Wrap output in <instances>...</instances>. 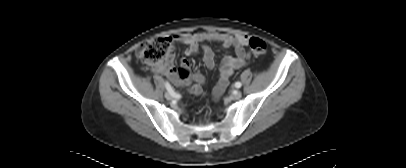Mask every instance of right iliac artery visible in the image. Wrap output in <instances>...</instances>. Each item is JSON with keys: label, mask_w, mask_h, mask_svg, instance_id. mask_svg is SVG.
<instances>
[{"label": "right iliac artery", "mask_w": 406, "mask_h": 168, "mask_svg": "<svg viewBox=\"0 0 406 168\" xmlns=\"http://www.w3.org/2000/svg\"><path fill=\"white\" fill-rule=\"evenodd\" d=\"M165 86H166L167 91H168L172 96H174V97H177V96H178V94H176V93L174 92V90H173V88L171 87V85L169 84V82H166V83H165Z\"/></svg>", "instance_id": "obj_1"}]
</instances>
